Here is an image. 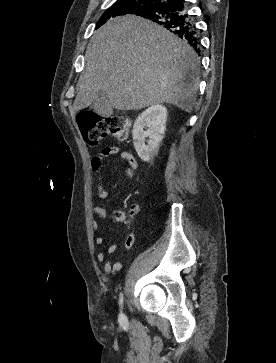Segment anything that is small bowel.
Returning a JSON list of instances; mask_svg holds the SVG:
<instances>
[{"instance_id": "c3829d8e", "label": "small bowel", "mask_w": 276, "mask_h": 363, "mask_svg": "<svg viewBox=\"0 0 276 363\" xmlns=\"http://www.w3.org/2000/svg\"><path fill=\"white\" fill-rule=\"evenodd\" d=\"M118 154L122 160L127 161L128 166L125 167L124 171L127 177H132L135 170L138 167V162L135 157L128 151L123 150L119 146H107L104 147L100 152H98L91 159V169L97 181L96 193L99 198H106L108 193L103 184V164L105 159L108 157ZM95 214L97 215V219H93L91 221V225L93 229H98L100 227V221L105 218L106 210L101 205H95L93 208ZM140 207L137 203H133L129 208V213L132 217L138 214ZM135 234L131 232L127 235L124 248L130 249L134 243ZM95 243L97 245L104 244V238L102 236H98L95 238ZM118 248V245L112 244L107 247L106 251H100L97 253V260L103 263V271L107 274L118 272L122 268V261L117 260L115 262H111L107 259V254L114 253Z\"/></svg>"}]
</instances>
